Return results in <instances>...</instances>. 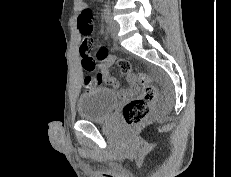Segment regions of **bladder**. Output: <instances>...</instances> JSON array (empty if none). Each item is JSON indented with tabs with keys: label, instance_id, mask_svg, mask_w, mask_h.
I'll list each match as a JSON object with an SVG mask.
<instances>
[{
	"label": "bladder",
	"instance_id": "bladder-1",
	"mask_svg": "<svg viewBox=\"0 0 231 177\" xmlns=\"http://www.w3.org/2000/svg\"><path fill=\"white\" fill-rule=\"evenodd\" d=\"M118 101L117 94L108 88H94L80 95L77 114L81 120L102 121L107 119Z\"/></svg>",
	"mask_w": 231,
	"mask_h": 177
}]
</instances>
